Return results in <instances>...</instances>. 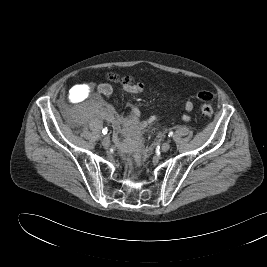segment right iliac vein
<instances>
[{"label": "right iliac vein", "mask_w": 267, "mask_h": 267, "mask_svg": "<svg viewBox=\"0 0 267 267\" xmlns=\"http://www.w3.org/2000/svg\"><path fill=\"white\" fill-rule=\"evenodd\" d=\"M102 144L104 147H108L110 145V138L108 136H105L102 140Z\"/></svg>", "instance_id": "obj_1"}]
</instances>
